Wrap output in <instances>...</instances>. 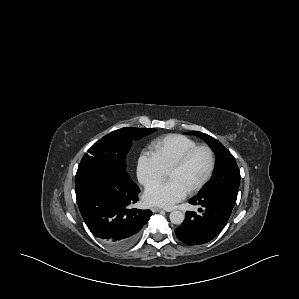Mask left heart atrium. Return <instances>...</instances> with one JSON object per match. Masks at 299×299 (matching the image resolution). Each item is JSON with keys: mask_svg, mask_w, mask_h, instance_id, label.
I'll return each instance as SVG.
<instances>
[{"mask_svg": "<svg viewBox=\"0 0 299 299\" xmlns=\"http://www.w3.org/2000/svg\"><path fill=\"white\" fill-rule=\"evenodd\" d=\"M187 194V190L177 181L169 180L159 182L147 187L144 200L149 205L170 208L181 201Z\"/></svg>", "mask_w": 299, "mask_h": 299, "instance_id": "39dd6f15", "label": "left heart atrium"}]
</instances>
